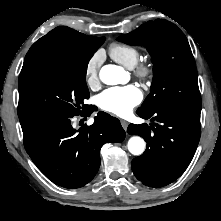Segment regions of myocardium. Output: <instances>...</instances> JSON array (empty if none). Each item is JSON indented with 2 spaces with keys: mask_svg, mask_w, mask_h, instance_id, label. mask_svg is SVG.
<instances>
[{
  "mask_svg": "<svg viewBox=\"0 0 221 221\" xmlns=\"http://www.w3.org/2000/svg\"><path fill=\"white\" fill-rule=\"evenodd\" d=\"M133 68L134 74L142 81H149L152 78L153 68L150 63L138 62Z\"/></svg>",
  "mask_w": 221,
  "mask_h": 221,
  "instance_id": "obj_1",
  "label": "myocardium"
}]
</instances>
